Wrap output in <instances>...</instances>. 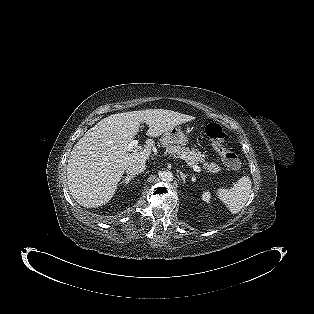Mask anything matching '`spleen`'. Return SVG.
<instances>
[{
	"label": "spleen",
	"instance_id": "spleen-1",
	"mask_svg": "<svg viewBox=\"0 0 314 314\" xmlns=\"http://www.w3.org/2000/svg\"><path fill=\"white\" fill-rule=\"evenodd\" d=\"M252 182L248 176L241 177L233 187L219 188L218 198L227 206L232 214L239 213L247 203L251 194Z\"/></svg>",
	"mask_w": 314,
	"mask_h": 314
}]
</instances>
